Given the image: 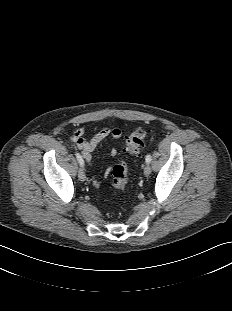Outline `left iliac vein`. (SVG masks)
Listing matches in <instances>:
<instances>
[{"instance_id": "obj_1", "label": "left iliac vein", "mask_w": 232, "mask_h": 311, "mask_svg": "<svg viewBox=\"0 0 232 311\" xmlns=\"http://www.w3.org/2000/svg\"><path fill=\"white\" fill-rule=\"evenodd\" d=\"M151 173V167L149 164H146L145 167H144V175L145 176H149Z\"/></svg>"}]
</instances>
